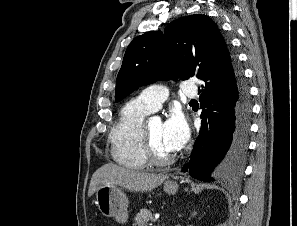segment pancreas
<instances>
[{"instance_id":"1","label":"pancreas","mask_w":297,"mask_h":226,"mask_svg":"<svg viewBox=\"0 0 297 226\" xmlns=\"http://www.w3.org/2000/svg\"><path fill=\"white\" fill-rule=\"evenodd\" d=\"M150 220H153L151 211L148 209H141L134 217L133 226H147Z\"/></svg>"}]
</instances>
